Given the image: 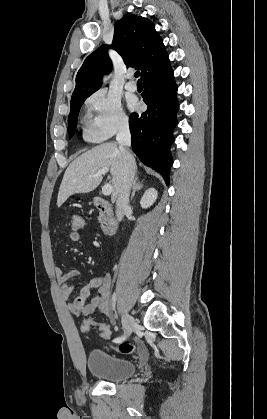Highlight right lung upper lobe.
I'll return each mask as SVG.
<instances>
[{"mask_svg":"<svg viewBox=\"0 0 267 419\" xmlns=\"http://www.w3.org/2000/svg\"><path fill=\"white\" fill-rule=\"evenodd\" d=\"M111 47L123 58L127 66L147 72L169 60L163 40L147 18L126 14L115 23ZM108 46L102 45L84 61L76 76L71 99L90 96L102 84V75L111 71Z\"/></svg>","mask_w":267,"mask_h":419,"instance_id":"1","label":"right lung upper lobe"}]
</instances>
